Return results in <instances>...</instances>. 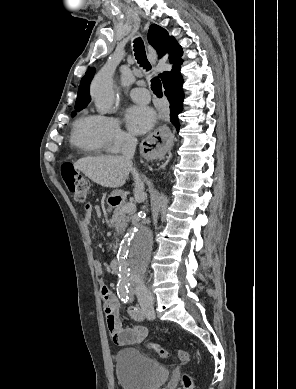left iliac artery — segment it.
<instances>
[{
    "label": "left iliac artery",
    "instance_id": "1",
    "mask_svg": "<svg viewBox=\"0 0 296 389\" xmlns=\"http://www.w3.org/2000/svg\"><path fill=\"white\" fill-rule=\"evenodd\" d=\"M131 315L135 319H141L142 318V312L138 308H134L133 310H131Z\"/></svg>",
    "mask_w": 296,
    "mask_h": 389
}]
</instances>
